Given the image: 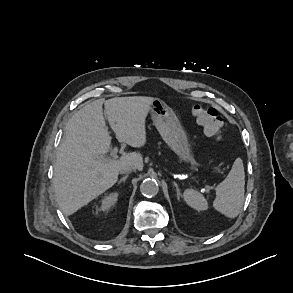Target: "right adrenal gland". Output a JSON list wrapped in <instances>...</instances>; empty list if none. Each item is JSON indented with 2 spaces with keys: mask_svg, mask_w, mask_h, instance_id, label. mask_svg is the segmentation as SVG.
Listing matches in <instances>:
<instances>
[{
  "mask_svg": "<svg viewBox=\"0 0 293 293\" xmlns=\"http://www.w3.org/2000/svg\"><path fill=\"white\" fill-rule=\"evenodd\" d=\"M128 174H126L125 176H123L119 181L118 184H121L122 182H125V180L127 179Z\"/></svg>",
  "mask_w": 293,
  "mask_h": 293,
  "instance_id": "2a0ac1e0",
  "label": "right adrenal gland"
}]
</instances>
